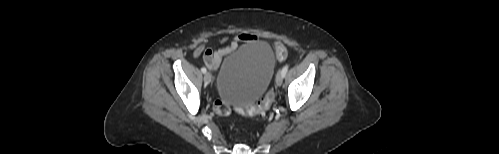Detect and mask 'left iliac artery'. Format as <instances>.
Listing matches in <instances>:
<instances>
[{
	"label": "left iliac artery",
	"mask_w": 499,
	"mask_h": 154,
	"mask_svg": "<svg viewBox=\"0 0 499 154\" xmlns=\"http://www.w3.org/2000/svg\"><path fill=\"white\" fill-rule=\"evenodd\" d=\"M288 68H289V66H288V65H285V66L282 68V71H281V72H282L283 77H285V75H286V73H287V71H288Z\"/></svg>",
	"instance_id": "obj_1"
}]
</instances>
